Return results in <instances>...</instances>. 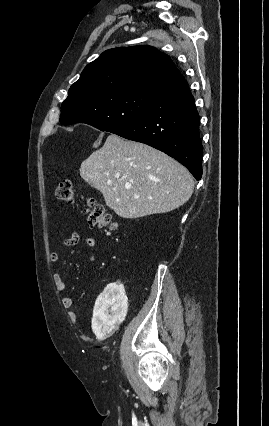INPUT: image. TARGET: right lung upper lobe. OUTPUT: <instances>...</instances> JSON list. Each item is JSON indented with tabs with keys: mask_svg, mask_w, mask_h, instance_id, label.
<instances>
[{
	"mask_svg": "<svg viewBox=\"0 0 269 426\" xmlns=\"http://www.w3.org/2000/svg\"><path fill=\"white\" fill-rule=\"evenodd\" d=\"M183 79L170 58L156 48L139 45L114 48L88 64L69 95L79 93L85 98L106 92L141 89L159 92Z\"/></svg>",
	"mask_w": 269,
	"mask_h": 426,
	"instance_id": "1",
	"label": "right lung upper lobe"
}]
</instances>
